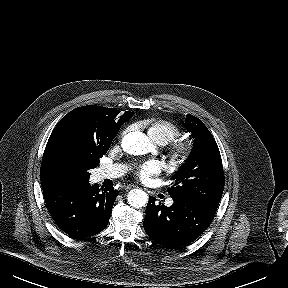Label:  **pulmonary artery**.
I'll return each mask as SVG.
<instances>
[{
	"label": "pulmonary artery",
	"instance_id": "e3ab8cb5",
	"mask_svg": "<svg viewBox=\"0 0 288 288\" xmlns=\"http://www.w3.org/2000/svg\"><path fill=\"white\" fill-rule=\"evenodd\" d=\"M125 170H126V166H124L122 164L104 165L98 169V171L96 173V177L98 180L113 179V178H117V177L123 175ZM172 203H173L172 199H169L166 202V204L168 206L172 205Z\"/></svg>",
	"mask_w": 288,
	"mask_h": 288
}]
</instances>
